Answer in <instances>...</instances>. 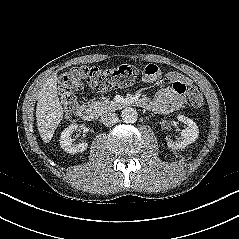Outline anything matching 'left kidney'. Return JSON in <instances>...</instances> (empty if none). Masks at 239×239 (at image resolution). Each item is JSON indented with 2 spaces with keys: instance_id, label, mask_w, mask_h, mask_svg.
Here are the masks:
<instances>
[{
  "instance_id": "5707ae66",
  "label": "left kidney",
  "mask_w": 239,
  "mask_h": 239,
  "mask_svg": "<svg viewBox=\"0 0 239 239\" xmlns=\"http://www.w3.org/2000/svg\"><path fill=\"white\" fill-rule=\"evenodd\" d=\"M177 119L187 125V128L181 130V137L176 142L170 140L167 142V146L171 149H183L194 143L199 136V128L192 119L180 114Z\"/></svg>"
}]
</instances>
